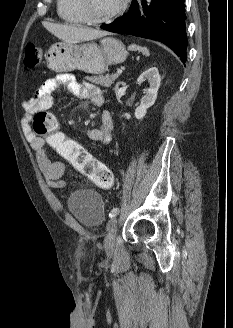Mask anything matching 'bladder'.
I'll use <instances>...</instances> for the list:
<instances>
[{"label":"bladder","instance_id":"1","mask_svg":"<svg viewBox=\"0 0 233 328\" xmlns=\"http://www.w3.org/2000/svg\"><path fill=\"white\" fill-rule=\"evenodd\" d=\"M67 207L74 218L85 227H97L104 220L103 201L94 191H73L67 198Z\"/></svg>","mask_w":233,"mask_h":328}]
</instances>
